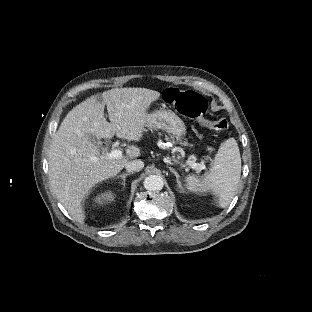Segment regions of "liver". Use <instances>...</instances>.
Returning <instances> with one entry per match:
<instances>
[{
	"instance_id": "1",
	"label": "liver",
	"mask_w": 312,
	"mask_h": 312,
	"mask_svg": "<svg viewBox=\"0 0 312 312\" xmlns=\"http://www.w3.org/2000/svg\"><path fill=\"white\" fill-rule=\"evenodd\" d=\"M91 96L68 112L50 144L48 175L50 185L59 202L74 220L84 224L82 201L99 182L116 176L128 158H100L99 149L90 141L97 138H118L139 141L145 130L150 104L160 93L146 88H114ZM107 106L110 122L104 117ZM130 158L140 156V149L129 146ZM92 156L99 161H91Z\"/></svg>"
}]
</instances>
